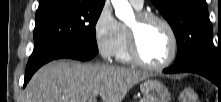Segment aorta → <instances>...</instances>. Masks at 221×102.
I'll return each instance as SVG.
<instances>
[{
    "label": "aorta",
    "mask_w": 221,
    "mask_h": 102,
    "mask_svg": "<svg viewBox=\"0 0 221 102\" xmlns=\"http://www.w3.org/2000/svg\"><path fill=\"white\" fill-rule=\"evenodd\" d=\"M115 9L116 16L122 20L127 21L133 18V10L128 0H111Z\"/></svg>",
    "instance_id": "762f6f07"
}]
</instances>
